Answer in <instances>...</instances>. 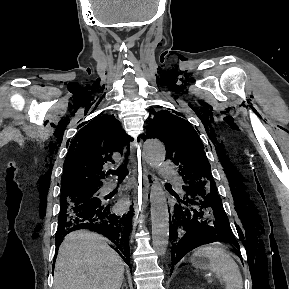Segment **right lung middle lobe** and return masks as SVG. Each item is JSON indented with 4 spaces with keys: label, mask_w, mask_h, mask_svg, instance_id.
Returning a JSON list of instances; mask_svg holds the SVG:
<instances>
[{
    "label": "right lung middle lobe",
    "mask_w": 289,
    "mask_h": 289,
    "mask_svg": "<svg viewBox=\"0 0 289 289\" xmlns=\"http://www.w3.org/2000/svg\"><path fill=\"white\" fill-rule=\"evenodd\" d=\"M101 203L98 197V190H89L74 193L71 195L61 196L60 199V215L58 222H63L70 218V216L90 209Z\"/></svg>",
    "instance_id": "right-lung-middle-lobe-1"
}]
</instances>
